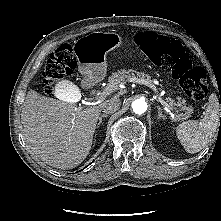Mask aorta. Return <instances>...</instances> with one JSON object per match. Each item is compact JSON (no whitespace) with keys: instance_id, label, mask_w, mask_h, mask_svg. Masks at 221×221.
I'll use <instances>...</instances> for the list:
<instances>
[{"instance_id":"aorta-1","label":"aorta","mask_w":221,"mask_h":221,"mask_svg":"<svg viewBox=\"0 0 221 221\" xmlns=\"http://www.w3.org/2000/svg\"><path fill=\"white\" fill-rule=\"evenodd\" d=\"M132 109L135 114H143L147 110V103L143 99H136L132 102Z\"/></svg>"}]
</instances>
